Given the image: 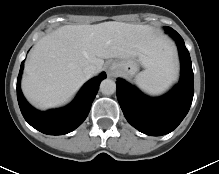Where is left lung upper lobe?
Returning <instances> with one entry per match:
<instances>
[{
  "label": "left lung upper lobe",
  "instance_id": "left-lung-upper-lobe-1",
  "mask_svg": "<svg viewBox=\"0 0 219 174\" xmlns=\"http://www.w3.org/2000/svg\"><path fill=\"white\" fill-rule=\"evenodd\" d=\"M166 32H168L169 30H172V28L170 27H165Z\"/></svg>",
  "mask_w": 219,
  "mask_h": 174
}]
</instances>
